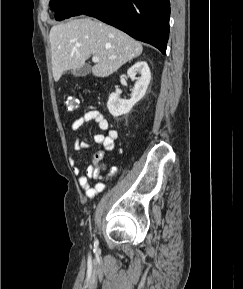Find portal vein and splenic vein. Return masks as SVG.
I'll list each match as a JSON object with an SVG mask.
<instances>
[{"label": "portal vein and splenic vein", "mask_w": 243, "mask_h": 289, "mask_svg": "<svg viewBox=\"0 0 243 289\" xmlns=\"http://www.w3.org/2000/svg\"><path fill=\"white\" fill-rule=\"evenodd\" d=\"M99 60H100V58L97 57V56H93V57H92V61H93L94 63H97Z\"/></svg>", "instance_id": "obj_1"}]
</instances>
